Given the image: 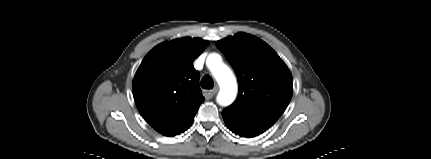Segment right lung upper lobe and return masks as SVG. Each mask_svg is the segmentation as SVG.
Segmentation results:
<instances>
[{"mask_svg": "<svg viewBox=\"0 0 431 159\" xmlns=\"http://www.w3.org/2000/svg\"><path fill=\"white\" fill-rule=\"evenodd\" d=\"M209 42L185 37L154 47L133 80V95L142 117L158 132L175 136L187 130L204 101L193 61Z\"/></svg>", "mask_w": 431, "mask_h": 159, "instance_id": "right-lung-upper-lobe-1", "label": "right lung upper lobe"}]
</instances>
